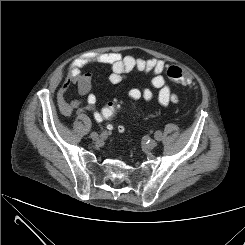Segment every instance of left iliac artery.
<instances>
[{"instance_id":"obj_1","label":"left iliac artery","mask_w":245,"mask_h":245,"mask_svg":"<svg viewBox=\"0 0 245 245\" xmlns=\"http://www.w3.org/2000/svg\"><path fill=\"white\" fill-rule=\"evenodd\" d=\"M161 137H162L161 132L160 131H156V133H155V139L158 140V141H160L161 140Z\"/></svg>"}]
</instances>
